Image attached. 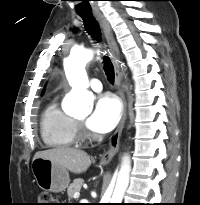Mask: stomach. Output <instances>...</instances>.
Segmentation results:
<instances>
[{
    "mask_svg": "<svg viewBox=\"0 0 200 205\" xmlns=\"http://www.w3.org/2000/svg\"><path fill=\"white\" fill-rule=\"evenodd\" d=\"M31 168L38 186L45 191L58 193L69 185V173L58 163L49 159L35 158Z\"/></svg>",
    "mask_w": 200,
    "mask_h": 205,
    "instance_id": "1",
    "label": "stomach"
}]
</instances>
